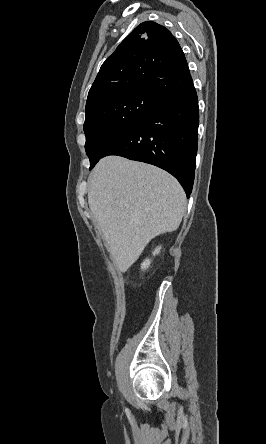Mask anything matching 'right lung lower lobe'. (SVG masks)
<instances>
[{"label":"right lung lower lobe","mask_w":266,"mask_h":444,"mask_svg":"<svg viewBox=\"0 0 266 444\" xmlns=\"http://www.w3.org/2000/svg\"><path fill=\"white\" fill-rule=\"evenodd\" d=\"M199 108L193 81L159 100L135 127L106 148L102 157L118 155L155 165L172 174L189 198L194 182Z\"/></svg>","instance_id":"obj_1"}]
</instances>
